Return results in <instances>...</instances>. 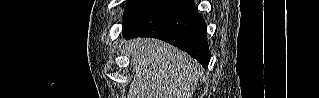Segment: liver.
<instances>
[{
    "mask_svg": "<svg viewBox=\"0 0 319 98\" xmlns=\"http://www.w3.org/2000/svg\"><path fill=\"white\" fill-rule=\"evenodd\" d=\"M134 76L128 98H191L200 64L185 52L160 40L131 42Z\"/></svg>",
    "mask_w": 319,
    "mask_h": 98,
    "instance_id": "6515ba94",
    "label": "liver"
}]
</instances>
